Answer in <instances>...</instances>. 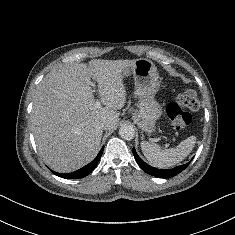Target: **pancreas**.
<instances>
[{"instance_id":"obj_1","label":"pancreas","mask_w":235,"mask_h":235,"mask_svg":"<svg viewBox=\"0 0 235 235\" xmlns=\"http://www.w3.org/2000/svg\"><path fill=\"white\" fill-rule=\"evenodd\" d=\"M134 120L137 121V122L139 121V119H138L137 116H134ZM138 123H139V125H140V122H138Z\"/></svg>"}]
</instances>
